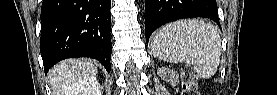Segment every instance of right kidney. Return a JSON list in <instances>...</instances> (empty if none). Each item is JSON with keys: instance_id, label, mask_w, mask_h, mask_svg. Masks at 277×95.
Wrapping results in <instances>:
<instances>
[{"instance_id": "1", "label": "right kidney", "mask_w": 277, "mask_h": 95, "mask_svg": "<svg viewBox=\"0 0 277 95\" xmlns=\"http://www.w3.org/2000/svg\"><path fill=\"white\" fill-rule=\"evenodd\" d=\"M98 81L95 76L87 77L77 83L71 95H101V90L98 86Z\"/></svg>"}]
</instances>
